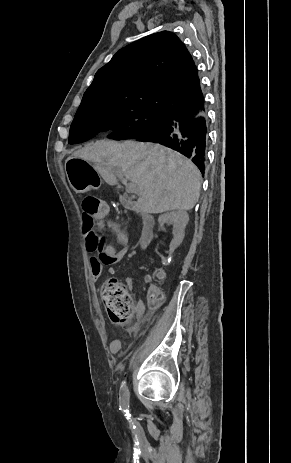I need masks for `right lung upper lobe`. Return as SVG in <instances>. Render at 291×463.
Returning <instances> with one entry per match:
<instances>
[{"label":"right lung upper lobe","instance_id":"right-lung-upper-lobe-1","mask_svg":"<svg viewBox=\"0 0 291 463\" xmlns=\"http://www.w3.org/2000/svg\"><path fill=\"white\" fill-rule=\"evenodd\" d=\"M198 70L184 43L158 32L120 49L85 91L78 109L127 101L163 114H195L202 106Z\"/></svg>","mask_w":291,"mask_h":463}]
</instances>
